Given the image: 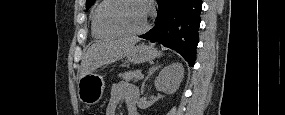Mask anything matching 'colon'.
<instances>
[{
	"instance_id": "colon-1",
	"label": "colon",
	"mask_w": 285,
	"mask_h": 115,
	"mask_svg": "<svg viewBox=\"0 0 285 115\" xmlns=\"http://www.w3.org/2000/svg\"><path fill=\"white\" fill-rule=\"evenodd\" d=\"M88 115H96V113L93 112V111H90V112L88 113Z\"/></svg>"
}]
</instances>
